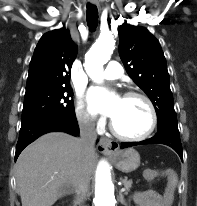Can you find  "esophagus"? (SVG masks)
Masks as SVG:
<instances>
[{
  "instance_id": "34e87169",
  "label": "esophagus",
  "mask_w": 197,
  "mask_h": 206,
  "mask_svg": "<svg viewBox=\"0 0 197 206\" xmlns=\"http://www.w3.org/2000/svg\"><path fill=\"white\" fill-rule=\"evenodd\" d=\"M93 5H98V0H90ZM99 150L105 154H113L119 148V143L108 138H101L98 146Z\"/></svg>"
}]
</instances>
